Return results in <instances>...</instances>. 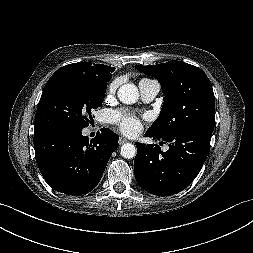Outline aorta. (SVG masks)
<instances>
[{"mask_svg":"<svg viewBox=\"0 0 253 253\" xmlns=\"http://www.w3.org/2000/svg\"><path fill=\"white\" fill-rule=\"evenodd\" d=\"M119 100L124 104H134L139 99L138 88L131 83L122 85L117 92ZM120 154L125 159L134 158L136 155V147L131 143L121 146Z\"/></svg>","mask_w":253,"mask_h":253,"instance_id":"aorta-1","label":"aorta"}]
</instances>
